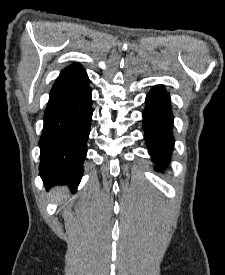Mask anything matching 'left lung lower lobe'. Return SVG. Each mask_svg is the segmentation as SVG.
<instances>
[{
    "label": "left lung lower lobe",
    "mask_w": 225,
    "mask_h": 275,
    "mask_svg": "<svg viewBox=\"0 0 225 275\" xmlns=\"http://www.w3.org/2000/svg\"><path fill=\"white\" fill-rule=\"evenodd\" d=\"M143 112L144 139L152 161L158 171L164 170L170 160L174 138L172 135L174 116L170 96L163 85L151 89L146 97Z\"/></svg>",
    "instance_id": "obj_1"
}]
</instances>
